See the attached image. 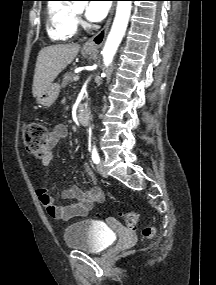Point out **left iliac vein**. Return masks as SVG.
<instances>
[{
	"label": "left iliac vein",
	"mask_w": 216,
	"mask_h": 285,
	"mask_svg": "<svg viewBox=\"0 0 216 285\" xmlns=\"http://www.w3.org/2000/svg\"><path fill=\"white\" fill-rule=\"evenodd\" d=\"M97 170L98 172L103 176V177H107L108 176V173H107V170L105 168V165H104V162L103 161H100L97 165Z\"/></svg>",
	"instance_id": "obj_1"
}]
</instances>
